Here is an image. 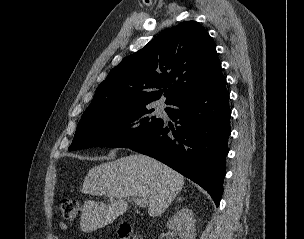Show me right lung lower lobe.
Instances as JSON below:
<instances>
[{
	"instance_id": "98d812e1",
	"label": "right lung lower lobe",
	"mask_w": 304,
	"mask_h": 239,
	"mask_svg": "<svg viewBox=\"0 0 304 239\" xmlns=\"http://www.w3.org/2000/svg\"><path fill=\"white\" fill-rule=\"evenodd\" d=\"M169 105L172 107L165 111L175 127L162 120L154 132L129 148L161 161L199 184L218 206L231 134L229 94L222 72Z\"/></svg>"
}]
</instances>
